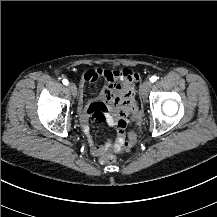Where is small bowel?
Wrapping results in <instances>:
<instances>
[{
  "instance_id": "c3829d8e",
  "label": "small bowel",
  "mask_w": 217,
  "mask_h": 217,
  "mask_svg": "<svg viewBox=\"0 0 217 217\" xmlns=\"http://www.w3.org/2000/svg\"><path fill=\"white\" fill-rule=\"evenodd\" d=\"M102 80L105 85L97 97L87 103L84 99L83 85L80 89L78 106V122L86 136L90 153L95 157H102L111 152V143L99 144L95 141L89 128V121L96 120L107 123L116 131L117 145L125 142V132L129 118H138L141 115L139 105L140 91L137 88L139 75L129 68L112 71L109 67L102 69L92 68L83 76L86 84Z\"/></svg>"
}]
</instances>
